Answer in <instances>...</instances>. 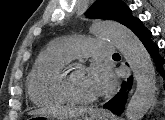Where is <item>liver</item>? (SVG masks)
<instances>
[{
	"label": "liver",
	"instance_id": "1",
	"mask_svg": "<svg viewBox=\"0 0 165 120\" xmlns=\"http://www.w3.org/2000/svg\"><path fill=\"white\" fill-rule=\"evenodd\" d=\"M53 113L56 115H59L63 118H73V117H77L79 115L84 114L85 112H87V109H73V108H67V107H53L51 109H49L48 111L43 109V110H36V111H32L31 114L36 115V114H41V113Z\"/></svg>",
	"mask_w": 165,
	"mask_h": 120
}]
</instances>
